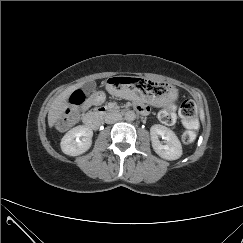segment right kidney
I'll return each mask as SVG.
<instances>
[{
    "instance_id": "obj_1",
    "label": "right kidney",
    "mask_w": 243,
    "mask_h": 243,
    "mask_svg": "<svg viewBox=\"0 0 243 243\" xmlns=\"http://www.w3.org/2000/svg\"><path fill=\"white\" fill-rule=\"evenodd\" d=\"M92 136L93 131L89 127L76 126L63 136L60 143L61 150L70 156L81 155L91 147Z\"/></svg>"
}]
</instances>
